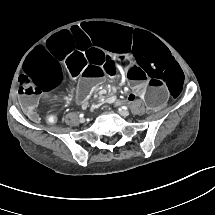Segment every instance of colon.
Wrapping results in <instances>:
<instances>
[{
    "label": "colon",
    "instance_id": "1",
    "mask_svg": "<svg viewBox=\"0 0 215 215\" xmlns=\"http://www.w3.org/2000/svg\"><path fill=\"white\" fill-rule=\"evenodd\" d=\"M45 121L46 123L48 124H54L55 121H56V115L54 113H48L46 116H45Z\"/></svg>",
    "mask_w": 215,
    "mask_h": 215
}]
</instances>
